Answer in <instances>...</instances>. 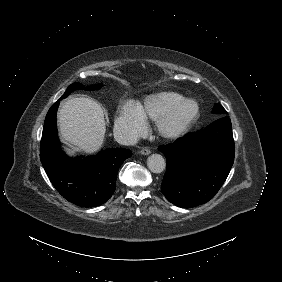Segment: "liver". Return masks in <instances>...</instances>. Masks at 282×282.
I'll return each instance as SVG.
<instances>
[{
  "mask_svg": "<svg viewBox=\"0 0 282 282\" xmlns=\"http://www.w3.org/2000/svg\"><path fill=\"white\" fill-rule=\"evenodd\" d=\"M59 136L85 155H94L104 146L106 122L102 107L86 97L71 98L57 113ZM69 158L72 152L60 146Z\"/></svg>",
  "mask_w": 282,
  "mask_h": 282,
  "instance_id": "1",
  "label": "liver"
}]
</instances>
